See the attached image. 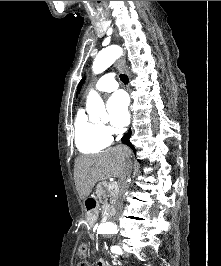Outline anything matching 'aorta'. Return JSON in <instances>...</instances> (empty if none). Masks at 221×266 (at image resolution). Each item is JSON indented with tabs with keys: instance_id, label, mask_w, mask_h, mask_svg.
<instances>
[{
	"instance_id": "762f6f07",
	"label": "aorta",
	"mask_w": 221,
	"mask_h": 266,
	"mask_svg": "<svg viewBox=\"0 0 221 266\" xmlns=\"http://www.w3.org/2000/svg\"><path fill=\"white\" fill-rule=\"evenodd\" d=\"M122 54L119 46L112 45L102 49L95 57L92 70L95 74H99L110 67ZM86 108L91 120H98L100 117H106L105 106L99 94L93 90L89 92L86 101ZM98 230L104 233L115 232L112 223H103L98 226Z\"/></svg>"
}]
</instances>
